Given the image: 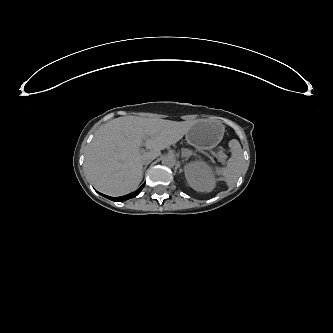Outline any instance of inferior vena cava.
I'll return each instance as SVG.
<instances>
[{
    "label": "inferior vena cava",
    "instance_id": "obj_1",
    "mask_svg": "<svg viewBox=\"0 0 333 333\" xmlns=\"http://www.w3.org/2000/svg\"><path fill=\"white\" fill-rule=\"evenodd\" d=\"M152 160H153L152 158H145V159H143L142 164L143 165H148L152 162Z\"/></svg>",
    "mask_w": 333,
    "mask_h": 333
}]
</instances>
